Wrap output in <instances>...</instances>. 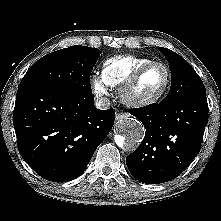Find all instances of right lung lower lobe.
Returning <instances> with one entry per match:
<instances>
[{"label": "right lung lower lobe", "mask_w": 221, "mask_h": 221, "mask_svg": "<svg viewBox=\"0 0 221 221\" xmlns=\"http://www.w3.org/2000/svg\"><path fill=\"white\" fill-rule=\"evenodd\" d=\"M92 94L40 86L18 88L13 114L19 153L42 178L76 179L114 124L115 110Z\"/></svg>", "instance_id": "1"}]
</instances>
